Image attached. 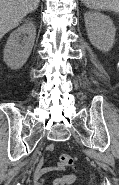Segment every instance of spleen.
<instances>
[{
    "label": "spleen",
    "instance_id": "obj_1",
    "mask_svg": "<svg viewBox=\"0 0 119 185\" xmlns=\"http://www.w3.org/2000/svg\"><path fill=\"white\" fill-rule=\"evenodd\" d=\"M85 6L96 11L119 13V0H81Z\"/></svg>",
    "mask_w": 119,
    "mask_h": 185
}]
</instances>
